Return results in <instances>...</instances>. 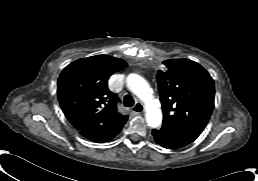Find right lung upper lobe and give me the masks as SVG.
<instances>
[{
	"label": "right lung upper lobe",
	"instance_id": "obj_1",
	"mask_svg": "<svg viewBox=\"0 0 258 181\" xmlns=\"http://www.w3.org/2000/svg\"><path fill=\"white\" fill-rule=\"evenodd\" d=\"M126 66L122 59L97 55L64 68L57 95L65 116L80 133L127 120V116L117 112V95L107 86L108 78Z\"/></svg>",
	"mask_w": 258,
	"mask_h": 181
}]
</instances>
